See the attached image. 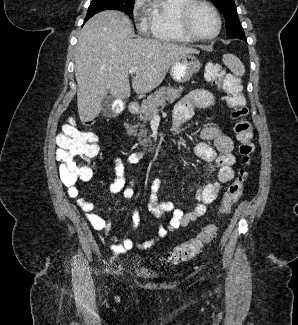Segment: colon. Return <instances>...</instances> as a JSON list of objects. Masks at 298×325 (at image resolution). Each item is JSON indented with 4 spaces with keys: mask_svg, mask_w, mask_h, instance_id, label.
<instances>
[{
    "mask_svg": "<svg viewBox=\"0 0 298 325\" xmlns=\"http://www.w3.org/2000/svg\"><path fill=\"white\" fill-rule=\"evenodd\" d=\"M205 78L221 87L225 99L235 119L234 132L239 142V153L244 166L251 162L255 146L252 142V126L248 120L246 97L242 92L239 79L227 72L220 64L207 63ZM99 147L96 136L91 132L82 131L74 122L65 125L57 137V160L60 162V178L66 186H75L79 181L92 177L91 162L98 155ZM247 177L245 168H241L236 179L229 185L223 195L220 212L228 213L239 201ZM215 225L205 226L193 239L174 247L164 258L166 263L178 264L198 255L205 245L215 239Z\"/></svg>",
    "mask_w": 298,
    "mask_h": 325,
    "instance_id": "5ec220e1",
    "label": "colon"
}]
</instances>
